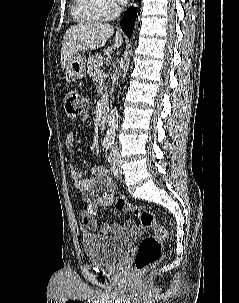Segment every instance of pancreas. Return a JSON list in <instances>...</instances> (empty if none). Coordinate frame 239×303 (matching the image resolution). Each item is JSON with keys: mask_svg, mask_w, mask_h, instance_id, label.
I'll return each instance as SVG.
<instances>
[{"mask_svg": "<svg viewBox=\"0 0 239 303\" xmlns=\"http://www.w3.org/2000/svg\"><path fill=\"white\" fill-rule=\"evenodd\" d=\"M104 59L101 56V54L96 53L92 56H90L88 58L87 61V72L90 75V77L93 78V80H97V72L99 71V69H101L102 65H103ZM104 98V102L106 101L107 98V91H106V87H105V93L103 95Z\"/></svg>", "mask_w": 239, "mask_h": 303, "instance_id": "1", "label": "pancreas"}]
</instances>
